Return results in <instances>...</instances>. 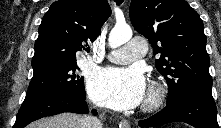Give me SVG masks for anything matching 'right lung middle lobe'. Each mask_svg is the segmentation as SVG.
<instances>
[{
  "instance_id": "dd1d6c3e",
  "label": "right lung middle lobe",
  "mask_w": 221,
  "mask_h": 128,
  "mask_svg": "<svg viewBox=\"0 0 221 128\" xmlns=\"http://www.w3.org/2000/svg\"><path fill=\"white\" fill-rule=\"evenodd\" d=\"M77 63L53 68L33 75L26 96L51 89H67L85 95L84 79L77 74Z\"/></svg>"
}]
</instances>
